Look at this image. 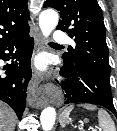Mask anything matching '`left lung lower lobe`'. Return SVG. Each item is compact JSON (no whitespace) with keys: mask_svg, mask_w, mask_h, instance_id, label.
Returning <instances> with one entry per match:
<instances>
[{"mask_svg":"<svg viewBox=\"0 0 117 131\" xmlns=\"http://www.w3.org/2000/svg\"><path fill=\"white\" fill-rule=\"evenodd\" d=\"M61 73L70 79L61 83L64 91L65 102L90 103L103 106L110 110L116 117L110 85L95 78L81 66L64 61Z\"/></svg>","mask_w":117,"mask_h":131,"instance_id":"1","label":"left lung lower lobe"}]
</instances>
